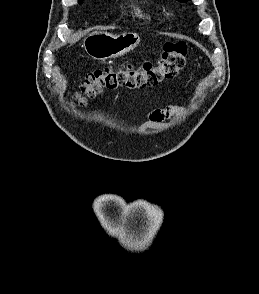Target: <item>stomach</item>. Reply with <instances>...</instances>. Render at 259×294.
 Returning <instances> with one entry per match:
<instances>
[{
  "instance_id": "0dacf381",
  "label": "stomach",
  "mask_w": 259,
  "mask_h": 294,
  "mask_svg": "<svg viewBox=\"0 0 259 294\" xmlns=\"http://www.w3.org/2000/svg\"><path fill=\"white\" fill-rule=\"evenodd\" d=\"M140 42L136 33L114 35L106 31L90 33L83 41L88 55L94 59L106 60L125 55L133 50Z\"/></svg>"
}]
</instances>
